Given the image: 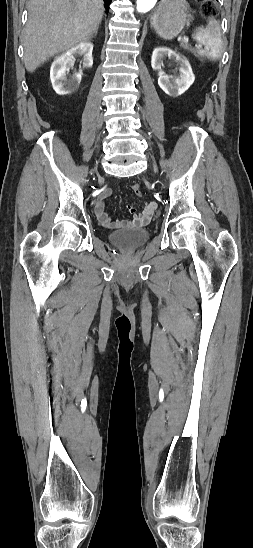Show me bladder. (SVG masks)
Listing matches in <instances>:
<instances>
[{"mask_svg": "<svg viewBox=\"0 0 253 548\" xmlns=\"http://www.w3.org/2000/svg\"><path fill=\"white\" fill-rule=\"evenodd\" d=\"M150 233L144 228L122 229L109 234L112 244L126 248H136L149 239Z\"/></svg>", "mask_w": 253, "mask_h": 548, "instance_id": "1", "label": "bladder"}]
</instances>
